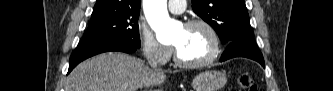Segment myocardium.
<instances>
[{
    "label": "myocardium",
    "mask_w": 333,
    "mask_h": 91,
    "mask_svg": "<svg viewBox=\"0 0 333 91\" xmlns=\"http://www.w3.org/2000/svg\"><path fill=\"white\" fill-rule=\"evenodd\" d=\"M185 28H192V27H202L204 28L208 34L210 35V38L212 40V51L211 54L200 61H186L184 60L180 54L178 49L174 46V59L175 63L183 68H202L205 66H208L209 64L213 63L220 55L221 52V42L219 35L216 31V29L207 21L201 20V19H193L185 23Z\"/></svg>",
    "instance_id": "obj_1"
}]
</instances>
